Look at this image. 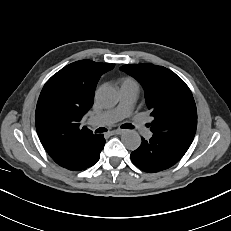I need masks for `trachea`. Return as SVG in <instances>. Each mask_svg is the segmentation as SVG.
<instances>
[{
  "label": "trachea",
  "mask_w": 231,
  "mask_h": 231,
  "mask_svg": "<svg viewBox=\"0 0 231 231\" xmlns=\"http://www.w3.org/2000/svg\"><path fill=\"white\" fill-rule=\"evenodd\" d=\"M121 128H124V129H133L134 126L132 124H129V123H126V124H123L121 126ZM107 129L106 128H103V127H100L96 130V133H101V132H106Z\"/></svg>",
  "instance_id": "trachea-1"
}]
</instances>
